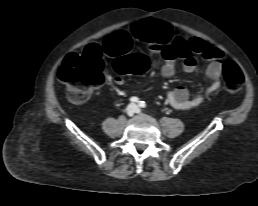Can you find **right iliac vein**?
I'll use <instances>...</instances> for the list:
<instances>
[{
  "mask_svg": "<svg viewBox=\"0 0 258 206\" xmlns=\"http://www.w3.org/2000/svg\"><path fill=\"white\" fill-rule=\"evenodd\" d=\"M136 112V107L134 105H129L126 109V113L128 116H133Z\"/></svg>",
  "mask_w": 258,
  "mask_h": 206,
  "instance_id": "1",
  "label": "right iliac vein"
}]
</instances>
